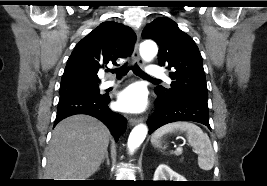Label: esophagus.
<instances>
[{
  "mask_svg": "<svg viewBox=\"0 0 267 186\" xmlns=\"http://www.w3.org/2000/svg\"><path fill=\"white\" fill-rule=\"evenodd\" d=\"M139 40H140V34L139 32H137V39H136V43H135V46H134V51H133V54H132V60L133 62H137L139 65H143V61L141 60L140 56H139ZM143 122V118H130L129 119V124L131 126H134L136 124H139Z\"/></svg>",
  "mask_w": 267,
  "mask_h": 186,
  "instance_id": "obj_1",
  "label": "esophagus"
}]
</instances>
